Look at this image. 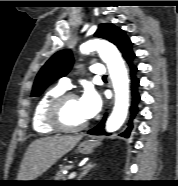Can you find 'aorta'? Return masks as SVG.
I'll list each match as a JSON object with an SVG mask.
<instances>
[{
  "mask_svg": "<svg viewBox=\"0 0 178 186\" xmlns=\"http://www.w3.org/2000/svg\"><path fill=\"white\" fill-rule=\"evenodd\" d=\"M95 50L98 51L102 60L107 64L115 92L114 108L106 122V131L111 133L122 126L128 114V73L119 51L111 43L101 39H93L80 47L82 54H89Z\"/></svg>",
  "mask_w": 178,
  "mask_h": 186,
  "instance_id": "obj_1",
  "label": "aorta"
}]
</instances>
